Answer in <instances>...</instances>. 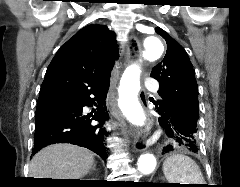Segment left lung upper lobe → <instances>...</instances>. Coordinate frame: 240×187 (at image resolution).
Here are the masks:
<instances>
[{
  "label": "left lung upper lobe",
  "mask_w": 240,
  "mask_h": 187,
  "mask_svg": "<svg viewBox=\"0 0 240 187\" xmlns=\"http://www.w3.org/2000/svg\"><path fill=\"white\" fill-rule=\"evenodd\" d=\"M167 43L166 55L153 67L151 77L159 81V106L173 104L199 115L195 72L184 48L160 27L155 28Z\"/></svg>",
  "instance_id": "1"
}]
</instances>
